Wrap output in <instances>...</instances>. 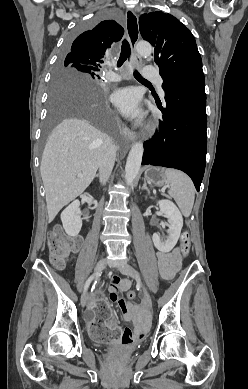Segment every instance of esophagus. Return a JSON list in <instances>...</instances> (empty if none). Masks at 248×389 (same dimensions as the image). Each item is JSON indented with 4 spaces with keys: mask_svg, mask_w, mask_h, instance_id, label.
Returning a JSON list of instances; mask_svg holds the SVG:
<instances>
[{
    "mask_svg": "<svg viewBox=\"0 0 248 389\" xmlns=\"http://www.w3.org/2000/svg\"><path fill=\"white\" fill-rule=\"evenodd\" d=\"M126 33L133 52L134 60L136 63H140L141 58L135 51V47L140 36L138 18L134 11L129 8L126 10ZM123 132L130 142H134L136 140V133L128 127H124Z\"/></svg>",
    "mask_w": 248,
    "mask_h": 389,
    "instance_id": "esophagus-1",
    "label": "esophagus"
}]
</instances>
